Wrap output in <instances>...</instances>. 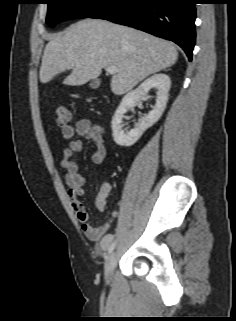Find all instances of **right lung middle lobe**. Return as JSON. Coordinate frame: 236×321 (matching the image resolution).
<instances>
[{
  "mask_svg": "<svg viewBox=\"0 0 236 321\" xmlns=\"http://www.w3.org/2000/svg\"><path fill=\"white\" fill-rule=\"evenodd\" d=\"M111 0H46V22L54 27L57 23L76 18L89 17L105 7Z\"/></svg>",
  "mask_w": 236,
  "mask_h": 321,
  "instance_id": "dd1d6c3e",
  "label": "right lung middle lobe"
}]
</instances>
